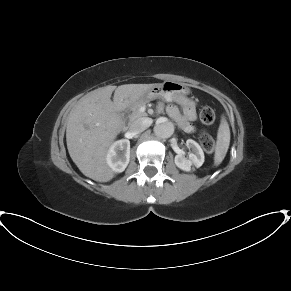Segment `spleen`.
<instances>
[{
  "label": "spleen",
  "instance_id": "spleen-1",
  "mask_svg": "<svg viewBox=\"0 0 291 291\" xmlns=\"http://www.w3.org/2000/svg\"><path fill=\"white\" fill-rule=\"evenodd\" d=\"M230 144V128L225 117H221V122L218 128L217 141L214 154V165L218 166L224 160Z\"/></svg>",
  "mask_w": 291,
  "mask_h": 291
}]
</instances>
